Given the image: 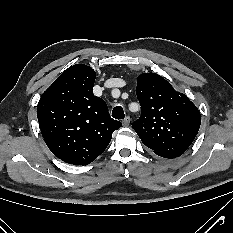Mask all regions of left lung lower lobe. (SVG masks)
I'll return each instance as SVG.
<instances>
[{
	"instance_id": "0a47b994",
	"label": "left lung lower lobe",
	"mask_w": 233,
	"mask_h": 233,
	"mask_svg": "<svg viewBox=\"0 0 233 233\" xmlns=\"http://www.w3.org/2000/svg\"><path fill=\"white\" fill-rule=\"evenodd\" d=\"M159 156H161V155H159ZM161 157H164V158H171V157H167V156H161Z\"/></svg>"
}]
</instances>
